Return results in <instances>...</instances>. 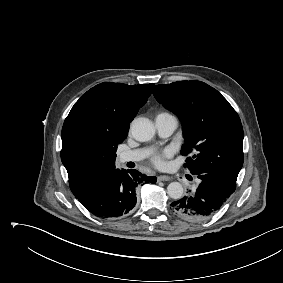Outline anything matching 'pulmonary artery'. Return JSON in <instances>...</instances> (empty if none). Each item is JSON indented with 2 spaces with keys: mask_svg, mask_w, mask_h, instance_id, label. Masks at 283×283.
Instances as JSON below:
<instances>
[{
  "mask_svg": "<svg viewBox=\"0 0 283 283\" xmlns=\"http://www.w3.org/2000/svg\"><path fill=\"white\" fill-rule=\"evenodd\" d=\"M155 126L158 134L161 137H169L177 126V120L172 115H158L155 118ZM148 155L147 149H136L127 152H123L118 157L120 164L127 162H136L144 159Z\"/></svg>",
  "mask_w": 283,
  "mask_h": 283,
  "instance_id": "obj_1",
  "label": "pulmonary artery"
}]
</instances>
